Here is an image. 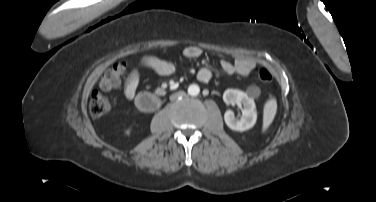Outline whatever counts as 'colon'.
Returning <instances> with one entry per match:
<instances>
[{
    "label": "colon",
    "instance_id": "5ec220e1",
    "mask_svg": "<svg viewBox=\"0 0 376 202\" xmlns=\"http://www.w3.org/2000/svg\"><path fill=\"white\" fill-rule=\"evenodd\" d=\"M126 66L123 63H117L111 66L101 77L99 82V87L103 91H109L119 86L120 78L125 73ZM259 80L268 84L272 80L271 73L265 69L261 68L258 71ZM110 108L109 100L100 94L99 92H93L89 100V110L93 117H101L108 112Z\"/></svg>",
    "mask_w": 376,
    "mask_h": 202
}]
</instances>
